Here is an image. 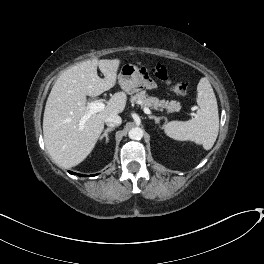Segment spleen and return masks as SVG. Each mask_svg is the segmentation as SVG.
<instances>
[{"label":"spleen","mask_w":264,"mask_h":264,"mask_svg":"<svg viewBox=\"0 0 264 264\" xmlns=\"http://www.w3.org/2000/svg\"><path fill=\"white\" fill-rule=\"evenodd\" d=\"M199 109L188 121H170L164 126L167 136L179 141H193L209 150L219 132L217 100L209 80L201 78L197 85Z\"/></svg>","instance_id":"3e777b00"}]
</instances>
